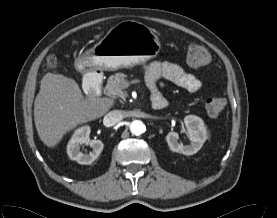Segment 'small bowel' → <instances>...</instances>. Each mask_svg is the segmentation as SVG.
<instances>
[{"label": "small bowel", "instance_id": "c3829d8e", "mask_svg": "<svg viewBox=\"0 0 277 218\" xmlns=\"http://www.w3.org/2000/svg\"><path fill=\"white\" fill-rule=\"evenodd\" d=\"M160 78H165L191 93L198 92L202 87L201 81L195 75L186 72L178 64L154 61L148 65L146 70V84L151 93L153 107L156 99H164L157 86Z\"/></svg>", "mask_w": 277, "mask_h": 218}]
</instances>
